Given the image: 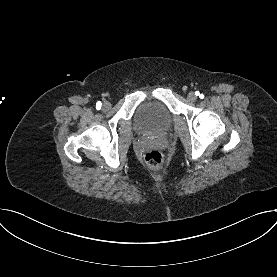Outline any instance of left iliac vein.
I'll return each mask as SVG.
<instances>
[{
    "instance_id": "1",
    "label": "left iliac vein",
    "mask_w": 277,
    "mask_h": 277,
    "mask_svg": "<svg viewBox=\"0 0 277 277\" xmlns=\"http://www.w3.org/2000/svg\"><path fill=\"white\" fill-rule=\"evenodd\" d=\"M187 98H188V100L191 101V102H195L196 99H197V97H196V95H195L194 92H190V93L188 94Z\"/></svg>"
}]
</instances>
